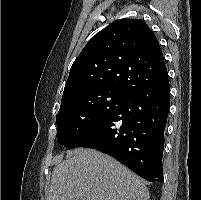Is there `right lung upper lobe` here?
<instances>
[{
	"mask_svg": "<svg viewBox=\"0 0 201 200\" xmlns=\"http://www.w3.org/2000/svg\"><path fill=\"white\" fill-rule=\"evenodd\" d=\"M167 74L157 38L140 19H120L93 36L74 61L62 100L91 91L126 96Z\"/></svg>",
	"mask_w": 201,
	"mask_h": 200,
	"instance_id": "obj_1",
	"label": "right lung upper lobe"
}]
</instances>
